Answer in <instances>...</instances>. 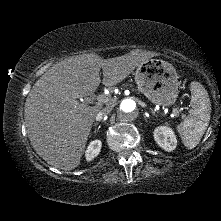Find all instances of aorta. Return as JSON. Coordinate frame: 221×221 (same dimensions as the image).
Returning a JSON list of instances; mask_svg holds the SVG:
<instances>
[{
	"instance_id": "obj_1",
	"label": "aorta",
	"mask_w": 221,
	"mask_h": 221,
	"mask_svg": "<svg viewBox=\"0 0 221 221\" xmlns=\"http://www.w3.org/2000/svg\"><path fill=\"white\" fill-rule=\"evenodd\" d=\"M138 112V105L131 98L123 99L117 108L118 118L123 122H130L135 120Z\"/></svg>"
}]
</instances>
